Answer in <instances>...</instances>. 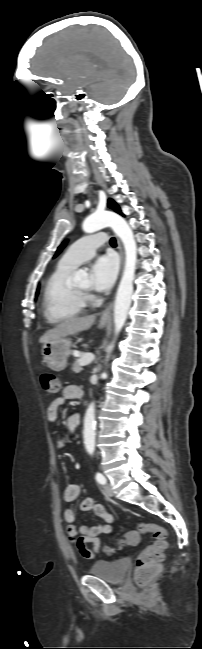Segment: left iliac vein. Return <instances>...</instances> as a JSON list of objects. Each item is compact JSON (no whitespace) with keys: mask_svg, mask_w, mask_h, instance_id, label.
I'll use <instances>...</instances> for the list:
<instances>
[{"mask_svg":"<svg viewBox=\"0 0 202 649\" xmlns=\"http://www.w3.org/2000/svg\"><path fill=\"white\" fill-rule=\"evenodd\" d=\"M104 492L107 496L112 497L113 496V491L112 488L109 484H104L103 486Z\"/></svg>","mask_w":202,"mask_h":649,"instance_id":"obj_1","label":"left iliac vein"}]
</instances>
